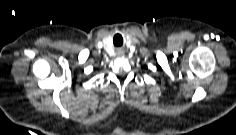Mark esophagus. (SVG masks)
I'll return each instance as SVG.
<instances>
[{"label": "esophagus", "mask_w": 236, "mask_h": 135, "mask_svg": "<svg viewBox=\"0 0 236 135\" xmlns=\"http://www.w3.org/2000/svg\"><path fill=\"white\" fill-rule=\"evenodd\" d=\"M122 53H123L122 51H118V54H120V55H121Z\"/></svg>", "instance_id": "esophagus-1"}]
</instances>
